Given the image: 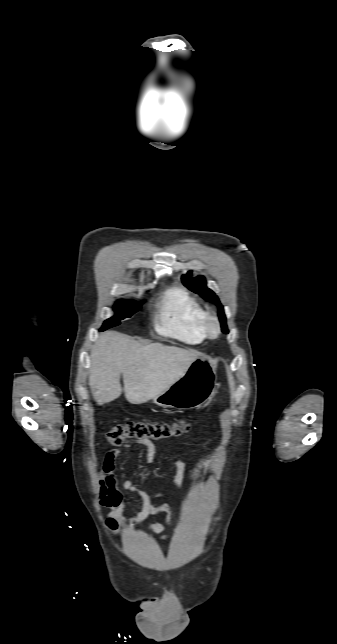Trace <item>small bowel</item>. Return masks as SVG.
I'll return each instance as SVG.
<instances>
[{"instance_id": "obj_1", "label": "small bowel", "mask_w": 337, "mask_h": 644, "mask_svg": "<svg viewBox=\"0 0 337 644\" xmlns=\"http://www.w3.org/2000/svg\"><path fill=\"white\" fill-rule=\"evenodd\" d=\"M135 442L139 445H142L146 448L145 454V464L150 465L154 462L157 447L156 445L148 439H135L133 441H127L125 443V448H129L131 444ZM122 455V450L120 448L110 449L105 456L101 471H100V486H101V496L100 503L101 505L111 508L107 520V528L114 534H117L121 526L128 527L135 525L143 521L149 514L155 512H165L168 514V523L171 521V507L167 504H162L158 507H154L151 504V499L157 496H162L164 494L170 493L175 490L182 481V476L185 470L184 463L176 458V465L178 474L174 480L173 486L167 491H158V492H148L141 487L137 486L132 479H126L122 483V489L124 492L133 493L138 495L143 502L142 510L135 516L126 518L122 514L123 506V493L117 486V479L114 474L115 463L118 458ZM200 468H203L200 465ZM165 529V526L159 523L152 524L149 527V530L153 533H161Z\"/></svg>"}]
</instances>
